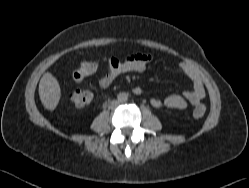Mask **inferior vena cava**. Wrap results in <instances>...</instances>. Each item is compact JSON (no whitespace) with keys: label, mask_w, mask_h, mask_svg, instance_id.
Listing matches in <instances>:
<instances>
[{"label":"inferior vena cava","mask_w":249,"mask_h":188,"mask_svg":"<svg viewBox=\"0 0 249 188\" xmlns=\"http://www.w3.org/2000/svg\"><path fill=\"white\" fill-rule=\"evenodd\" d=\"M118 104H119V102L117 100H112V101L109 102L108 107L110 109H112V108L116 107Z\"/></svg>","instance_id":"inferior-vena-cava-1"}]
</instances>
